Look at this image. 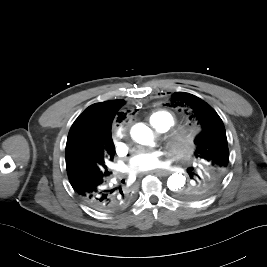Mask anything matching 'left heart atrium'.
<instances>
[{
    "mask_svg": "<svg viewBox=\"0 0 267 267\" xmlns=\"http://www.w3.org/2000/svg\"><path fill=\"white\" fill-rule=\"evenodd\" d=\"M162 151H143L136 153L126 166L127 173L139 175L142 173L156 170L163 166Z\"/></svg>",
    "mask_w": 267,
    "mask_h": 267,
    "instance_id": "obj_1",
    "label": "left heart atrium"
}]
</instances>
